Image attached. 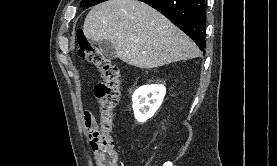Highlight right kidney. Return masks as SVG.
<instances>
[{"mask_svg": "<svg viewBox=\"0 0 277 166\" xmlns=\"http://www.w3.org/2000/svg\"><path fill=\"white\" fill-rule=\"evenodd\" d=\"M166 88L161 84H152L138 88L133 96V111L139 122L151 118L163 102Z\"/></svg>", "mask_w": 277, "mask_h": 166, "instance_id": "right-kidney-1", "label": "right kidney"}]
</instances>
